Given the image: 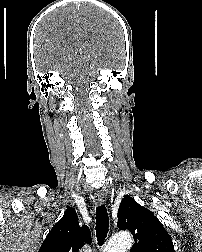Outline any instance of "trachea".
Masks as SVG:
<instances>
[{
  "mask_svg": "<svg viewBox=\"0 0 202 252\" xmlns=\"http://www.w3.org/2000/svg\"><path fill=\"white\" fill-rule=\"evenodd\" d=\"M109 231V217L105 205L96 208V237L99 245L104 243Z\"/></svg>",
  "mask_w": 202,
  "mask_h": 252,
  "instance_id": "1",
  "label": "trachea"
}]
</instances>
